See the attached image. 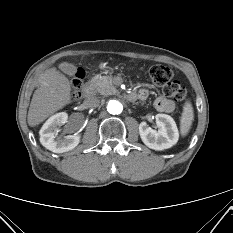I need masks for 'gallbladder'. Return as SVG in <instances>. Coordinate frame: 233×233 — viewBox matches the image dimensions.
<instances>
[{
  "label": "gallbladder",
  "instance_id": "bac80fb5",
  "mask_svg": "<svg viewBox=\"0 0 233 233\" xmlns=\"http://www.w3.org/2000/svg\"><path fill=\"white\" fill-rule=\"evenodd\" d=\"M59 69L69 75V76H73L76 74L77 72V67L71 63H67V62H63L59 65Z\"/></svg>",
  "mask_w": 233,
  "mask_h": 233
}]
</instances>
